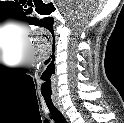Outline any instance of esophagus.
<instances>
[{"label":"esophagus","mask_w":124,"mask_h":123,"mask_svg":"<svg viewBox=\"0 0 124 123\" xmlns=\"http://www.w3.org/2000/svg\"><path fill=\"white\" fill-rule=\"evenodd\" d=\"M55 104L58 107L59 111L64 115V110H63L61 104L59 102H57V101H55Z\"/></svg>","instance_id":"obj_1"}]
</instances>
